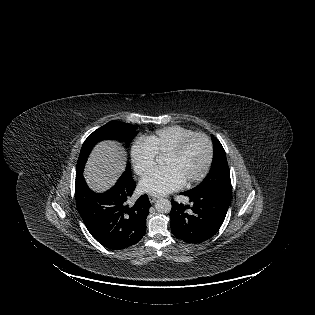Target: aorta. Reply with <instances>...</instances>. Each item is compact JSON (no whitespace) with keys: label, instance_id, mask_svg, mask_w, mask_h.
<instances>
[{"label":"aorta","instance_id":"1","mask_svg":"<svg viewBox=\"0 0 315 315\" xmlns=\"http://www.w3.org/2000/svg\"><path fill=\"white\" fill-rule=\"evenodd\" d=\"M171 208V202L166 198L158 199L155 203V209L157 210V212L162 214L169 213L171 211Z\"/></svg>","mask_w":315,"mask_h":315}]
</instances>
